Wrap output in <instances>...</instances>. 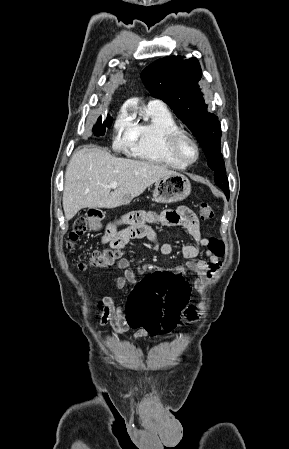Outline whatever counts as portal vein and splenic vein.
Here are the masks:
<instances>
[{
	"instance_id": "1",
	"label": "portal vein and splenic vein",
	"mask_w": 289,
	"mask_h": 449,
	"mask_svg": "<svg viewBox=\"0 0 289 449\" xmlns=\"http://www.w3.org/2000/svg\"><path fill=\"white\" fill-rule=\"evenodd\" d=\"M117 186H118V182L114 181V182L110 183L108 187L115 189Z\"/></svg>"
}]
</instances>
